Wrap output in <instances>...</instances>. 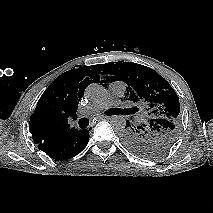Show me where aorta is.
I'll return each instance as SVG.
<instances>
[{"label":"aorta","instance_id":"762f6f07","mask_svg":"<svg viewBox=\"0 0 213 213\" xmlns=\"http://www.w3.org/2000/svg\"><path fill=\"white\" fill-rule=\"evenodd\" d=\"M86 94L91 99H97L105 94V89L102 85L98 83L90 84L86 89ZM112 126L117 131L122 132L126 127V119L123 116H115L112 119Z\"/></svg>","mask_w":213,"mask_h":213}]
</instances>
